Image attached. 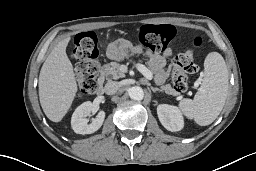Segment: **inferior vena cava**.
<instances>
[{
  "mask_svg": "<svg viewBox=\"0 0 256 171\" xmlns=\"http://www.w3.org/2000/svg\"><path fill=\"white\" fill-rule=\"evenodd\" d=\"M119 88H120V86H119L118 82L112 81V82H108L105 85L104 90L107 95H113V94L117 93Z\"/></svg>",
  "mask_w": 256,
  "mask_h": 171,
  "instance_id": "inferior-vena-cava-1",
  "label": "inferior vena cava"
}]
</instances>
